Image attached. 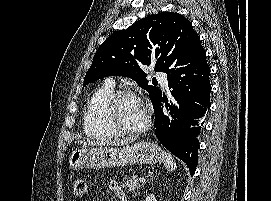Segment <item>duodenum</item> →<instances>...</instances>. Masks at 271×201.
I'll use <instances>...</instances> for the list:
<instances>
[{"label":"duodenum","mask_w":271,"mask_h":201,"mask_svg":"<svg viewBox=\"0 0 271 201\" xmlns=\"http://www.w3.org/2000/svg\"><path fill=\"white\" fill-rule=\"evenodd\" d=\"M119 199H120L121 201H126L125 195H120V196H119Z\"/></svg>","instance_id":"obj_1"}]
</instances>
